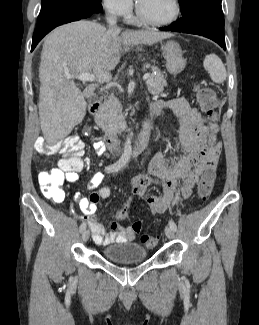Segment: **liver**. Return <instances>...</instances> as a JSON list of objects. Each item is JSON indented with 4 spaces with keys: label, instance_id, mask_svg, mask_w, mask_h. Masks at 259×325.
Masks as SVG:
<instances>
[{
    "label": "liver",
    "instance_id": "6515ba94",
    "mask_svg": "<svg viewBox=\"0 0 259 325\" xmlns=\"http://www.w3.org/2000/svg\"><path fill=\"white\" fill-rule=\"evenodd\" d=\"M167 32L106 29L92 21H75L57 27L44 39L39 67V118L45 140L54 144L68 136L86 114V98L98 85L112 79L122 50L134 45H152L172 37ZM93 73L96 83L82 92L74 78Z\"/></svg>",
    "mask_w": 259,
    "mask_h": 325
}]
</instances>
